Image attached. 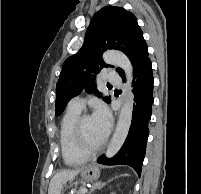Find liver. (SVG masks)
<instances>
[{
  "instance_id": "6515ba94",
  "label": "liver",
  "mask_w": 201,
  "mask_h": 194,
  "mask_svg": "<svg viewBox=\"0 0 201 194\" xmlns=\"http://www.w3.org/2000/svg\"><path fill=\"white\" fill-rule=\"evenodd\" d=\"M82 169L62 170L56 173L50 181L48 194H60L63 185L77 176Z\"/></svg>"
}]
</instances>
